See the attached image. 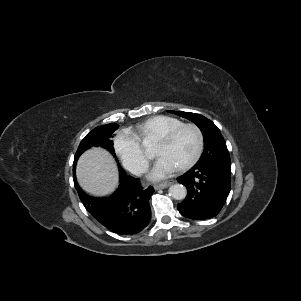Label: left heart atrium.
<instances>
[{
	"label": "left heart atrium",
	"mask_w": 301,
	"mask_h": 301,
	"mask_svg": "<svg viewBox=\"0 0 301 301\" xmlns=\"http://www.w3.org/2000/svg\"><path fill=\"white\" fill-rule=\"evenodd\" d=\"M177 168L178 166L167 158L159 157L150 173V177L153 179H161L173 173Z\"/></svg>",
	"instance_id": "39dd6f15"
}]
</instances>
